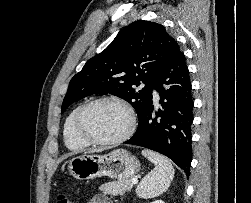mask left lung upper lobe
I'll use <instances>...</instances> for the list:
<instances>
[{
  "label": "left lung upper lobe",
  "instance_id": "obj_1",
  "mask_svg": "<svg viewBox=\"0 0 251 203\" xmlns=\"http://www.w3.org/2000/svg\"><path fill=\"white\" fill-rule=\"evenodd\" d=\"M174 42L161 24L144 20L131 23L71 79L62 112L86 96L109 93L129 102L139 118L149 103L153 82ZM141 82L144 88L136 89Z\"/></svg>",
  "mask_w": 251,
  "mask_h": 203
}]
</instances>
